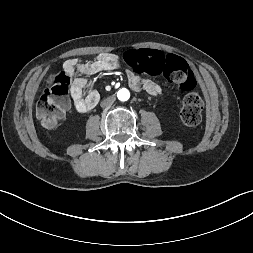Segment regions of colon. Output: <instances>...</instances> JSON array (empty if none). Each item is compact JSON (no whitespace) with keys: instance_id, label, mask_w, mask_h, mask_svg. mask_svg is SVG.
<instances>
[{"instance_id":"colon-1","label":"colon","mask_w":253,"mask_h":253,"mask_svg":"<svg viewBox=\"0 0 253 253\" xmlns=\"http://www.w3.org/2000/svg\"><path fill=\"white\" fill-rule=\"evenodd\" d=\"M124 67L144 76H165L186 91L180 117L184 125L196 126L202 119L203 100L194 90L196 80L188 63L160 47L142 46L129 49L122 58ZM71 76L65 71L51 77L36 104V115L46 128H52L69 108Z\"/></svg>"}]
</instances>
